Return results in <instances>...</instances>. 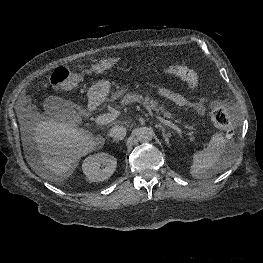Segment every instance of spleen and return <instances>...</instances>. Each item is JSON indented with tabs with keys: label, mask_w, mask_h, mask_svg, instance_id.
<instances>
[{
	"label": "spleen",
	"mask_w": 263,
	"mask_h": 263,
	"mask_svg": "<svg viewBox=\"0 0 263 263\" xmlns=\"http://www.w3.org/2000/svg\"><path fill=\"white\" fill-rule=\"evenodd\" d=\"M233 150L221 133L213 134L208 146L193 155L190 174L199 179L207 176L211 168L219 171L227 169L234 162L231 155Z\"/></svg>",
	"instance_id": "1"
}]
</instances>
